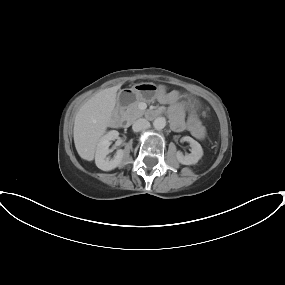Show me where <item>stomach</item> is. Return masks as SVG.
Instances as JSON below:
<instances>
[{"label": "stomach", "instance_id": "obj_1", "mask_svg": "<svg viewBox=\"0 0 285 285\" xmlns=\"http://www.w3.org/2000/svg\"><path fill=\"white\" fill-rule=\"evenodd\" d=\"M133 100L137 101H152L157 93L158 87L153 83H140L131 88ZM186 107L190 111H197L199 109V103L192 98H187Z\"/></svg>", "mask_w": 285, "mask_h": 285}]
</instances>
